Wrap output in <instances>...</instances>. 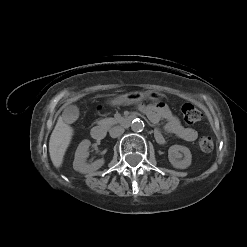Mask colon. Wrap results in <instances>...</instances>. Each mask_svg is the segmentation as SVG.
<instances>
[{"instance_id":"colon-1","label":"colon","mask_w":247,"mask_h":247,"mask_svg":"<svg viewBox=\"0 0 247 247\" xmlns=\"http://www.w3.org/2000/svg\"><path fill=\"white\" fill-rule=\"evenodd\" d=\"M181 113L184 121L187 124H195L198 122L202 115L199 109L191 103H185L181 107ZM213 140L210 136H202L199 139V147L204 152H209L213 148Z\"/></svg>"}]
</instances>
